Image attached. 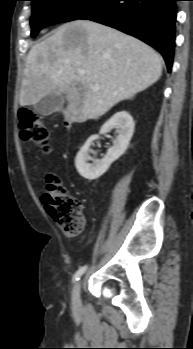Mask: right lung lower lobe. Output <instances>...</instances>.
Wrapping results in <instances>:
<instances>
[{
	"label": "right lung lower lobe",
	"mask_w": 193,
	"mask_h": 349,
	"mask_svg": "<svg viewBox=\"0 0 193 349\" xmlns=\"http://www.w3.org/2000/svg\"><path fill=\"white\" fill-rule=\"evenodd\" d=\"M176 1L100 0L79 19L116 28L153 46L163 55L170 72L175 46Z\"/></svg>",
	"instance_id": "98d812e1"
}]
</instances>
